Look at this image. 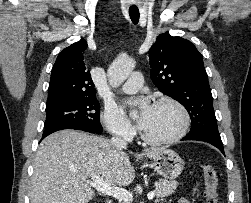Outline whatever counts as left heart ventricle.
I'll return each mask as SVG.
<instances>
[{
    "instance_id": "left-heart-ventricle-1",
    "label": "left heart ventricle",
    "mask_w": 251,
    "mask_h": 203,
    "mask_svg": "<svg viewBox=\"0 0 251 203\" xmlns=\"http://www.w3.org/2000/svg\"><path fill=\"white\" fill-rule=\"evenodd\" d=\"M180 112L172 105L153 106L142 131L153 139H164L174 135L181 126Z\"/></svg>"
}]
</instances>
